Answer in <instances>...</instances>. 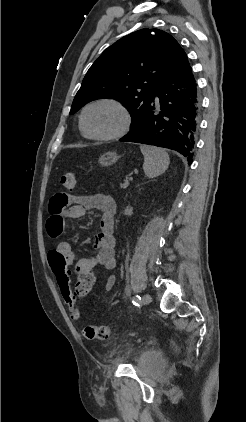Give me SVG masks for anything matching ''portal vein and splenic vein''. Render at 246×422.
<instances>
[{"label":"portal vein and splenic vein","mask_w":246,"mask_h":422,"mask_svg":"<svg viewBox=\"0 0 246 422\" xmlns=\"http://www.w3.org/2000/svg\"><path fill=\"white\" fill-rule=\"evenodd\" d=\"M133 177H130L129 180L125 184H129V181H132Z\"/></svg>","instance_id":"1"}]
</instances>
